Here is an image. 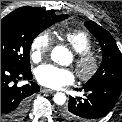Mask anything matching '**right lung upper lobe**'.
Listing matches in <instances>:
<instances>
[{
    "label": "right lung upper lobe",
    "instance_id": "cb5924a9",
    "mask_svg": "<svg viewBox=\"0 0 122 122\" xmlns=\"http://www.w3.org/2000/svg\"><path fill=\"white\" fill-rule=\"evenodd\" d=\"M21 9L25 10V11H28V12H31L35 15H38V16H41V17H53V16H56L54 11L52 10H49V11H46L42 8H39V7H28V6H25V7H21ZM60 17H66V15H60Z\"/></svg>",
    "mask_w": 122,
    "mask_h": 122
}]
</instances>
